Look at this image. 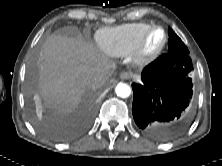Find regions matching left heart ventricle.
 Here are the masks:
<instances>
[{"label": "left heart ventricle", "instance_id": "b2bd125f", "mask_svg": "<svg viewBox=\"0 0 222 166\" xmlns=\"http://www.w3.org/2000/svg\"><path fill=\"white\" fill-rule=\"evenodd\" d=\"M162 39H163V33L161 30L153 31L147 39L145 49L147 51H152L156 49L162 42Z\"/></svg>", "mask_w": 222, "mask_h": 166}]
</instances>
